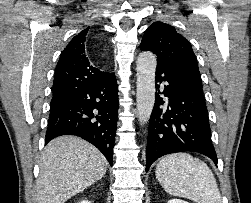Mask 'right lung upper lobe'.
Here are the masks:
<instances>
[{"mask_svg":"<svg viewBox=\"0 0 251 203\" xmlns=\"http://www.w3.org/2000/svg\"><path fill=\"white\" fill-rule=\"evenodd\" d=\"M90 27L73 37L63 50L55 70L51 103L65 99L83 86L109 78V72L92 66L85 51Z\"/></svg>","mask_w":251,"mask_h":203,"instance_id":"1","label":"right lung upper lobe"}]
</instances>
